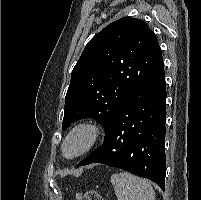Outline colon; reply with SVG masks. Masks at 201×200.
<instances>
[{"instance_id": "obj_1", "label": "colon", "mask_w": 201, "mask_h": 200, "mask_svg": "<svg viewBox=\"0 0 201 200\" xmlns=\"http://www.w3.org/2000/svg\"><path fill=\"white\" fill-rule=\"evenodd\" d=\"M76 200H104L103 197L97 191H86L78 193Z\"/></svg>"}]
</instances>
